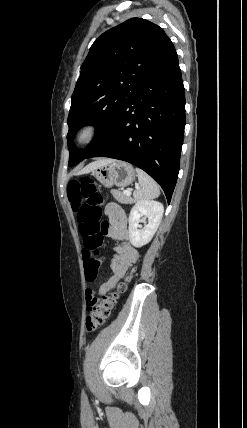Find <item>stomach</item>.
<instances>
[{
	"label": "stomach",
	"mask_w": 247,
	"mask_h": 428,
	"mask_svg": "<svg viewBox=\"0 0 247 428\" xmlns=\"http://www.w3.org/2000/svg\"><path fill=\"white\" fill-rule=\"evenodd\" d=\"M96 179L105 187L111 188L113 185L126 187L130 185L136 177L134 167L123 161L114 160L104 164L92 171Z\"/></svg>",
	"instance_id": "obj_1"
}]
</instances>
